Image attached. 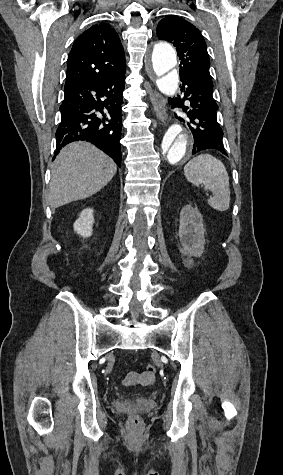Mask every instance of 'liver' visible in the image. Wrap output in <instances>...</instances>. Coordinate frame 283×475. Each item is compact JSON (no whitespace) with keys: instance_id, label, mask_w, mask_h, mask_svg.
I'll return each mask as SVG.
<instances>
[{"instance_id":"6515ba94","label":"liver","mask_w":283,"mask_h":475,"mask_svg":"<svg viewBox=\"0 0 283 475\" xmlns=\"http://www.w3.org/2000/svg\"><path fill=\"white\" fill-rule=\"evenodd\" d=\"M117 172L112 158L89 142H73L60 150L52 168L50 206L84 200L107 186Z\"/></svg>"}]
</instances>
